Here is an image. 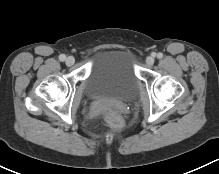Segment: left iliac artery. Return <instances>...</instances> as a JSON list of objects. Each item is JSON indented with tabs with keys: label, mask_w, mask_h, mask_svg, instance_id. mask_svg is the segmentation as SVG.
Masks as SVG:
<instances>
[{
	"label": "left iliac artery",
	"mask_w": 219,
	"mask_h": 174,
	"mask_svg": "<svg viewBox=\"0 0 219 174\" xmlns=\"http://www.w3.org/2000/svg\"><path fill=\"white\" fill-rule=\"evenodd\" d=\"M157 57H158V58H162V57H163V54H162V53H158V54H157Z\"/></svg>",
	"instance_id": "obj_1"
}]
</instances>
